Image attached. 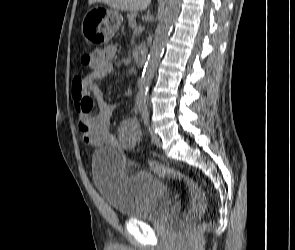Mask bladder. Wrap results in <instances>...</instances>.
I'll use <instances>...</instances> for the list:
<instances>
[{"instance_id":"bladder-1","label":"bladder","mask_w":295,"mask_h":250,"mask_svg":"<svg viewBox=\"0 0 295 250\" xmlns=\"http://www.w3.org/2000/svg\"><path fill=\"white\" fill-rule=\"evenodd\" d=\"M91 167L103 199L127 219H160L171 203L170 189L153 175L131 166L117 149L96 150Z\"/></svg>"}]
</instances>
